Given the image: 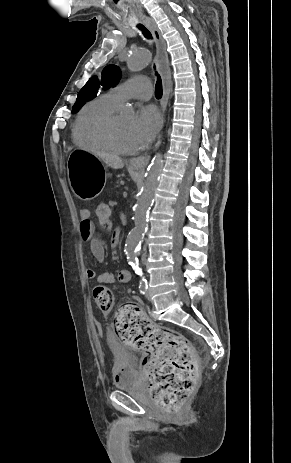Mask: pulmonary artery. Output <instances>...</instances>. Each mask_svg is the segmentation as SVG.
<instances>
[{
  "label": "pulmonary artery",
  "instance_id": "1",
  "mask_svg": "<svg viewBox=\"0 0 291 463\" xmlns=\"http://www.w3.org/2000/svg\"><path fill=\"white\" fill-rule=\"evenodd\" d=\"M110 93L118 104L129 99L149 100L152 95V85L147 76H137L111 89Z\"/></svg>",
  "mask_w": 291,
  "mask_h": 463
}]
</instances>
